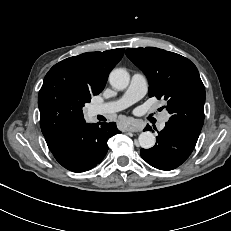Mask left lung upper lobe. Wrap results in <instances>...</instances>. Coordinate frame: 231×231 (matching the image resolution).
<instances>
[{"instance_id":"left-lung-upper-lobe-1","label":"left lung upper lobe","mask_w":231,"mask_h":231,"mask_svg":"<svg viewBox=\"0 0 231 231\" xmlns=\"http://www.w3.org/2000/svg\"><path fill=\"white\" fill-rule=\"evenodd\" d=\"M126 55L147 76L149 96L167 101L168 122L200 134L206 95L196 66L179 54L154 47L127 49Z\"/></svg>"}]
</instances>
